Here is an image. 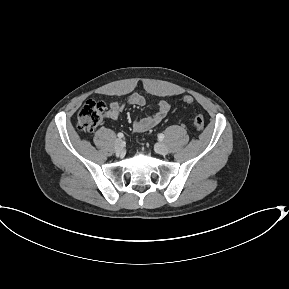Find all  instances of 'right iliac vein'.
<instances>
[{"instance_id": "1", "label": "right iliac vein", "mask_w": 289, "mask_h": 289, "mask_svg": "<svg viewBox=\"0 0 289 289\" xmlns=\"http://www.w3.org/2000/svg\"><path fill=\"white\" fill-rule=\"evenodd\" d=\"M124 150V143L121 139H117L115 142V151L121 153Z\"/></svg>"}]
</instances>
